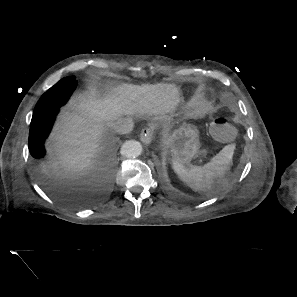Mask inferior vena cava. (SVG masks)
<instances>
[{
	"mask_svg": "<svg viewBox=\"0 0 297 297\" xmlns=\"http://www.w3.org/2000/svg\"><path fill=\"white\" fill-rule=\"evenodd\" d=\"M110 127L119 134H128L133 129V122L130 119H119L110 124Z\"/></svg>",
	"mask_w": 297,
	"mask_h": 297,
	"instance_id": "obj_1",
	"label": "inferior vena cava"
}]
</instances>
